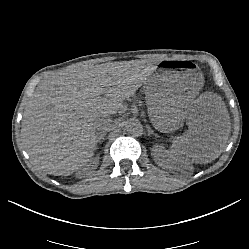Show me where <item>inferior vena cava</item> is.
Returning <instances> with one entry per match:
<instances>
[{"label": "inferior vena cava", "mask_w": 249, "mask_h": 249, "mask_svg": "<svg viewBox=\"0 0 249 249\" xmlns=\"http://www.w3.org/2000/svg\"><path fill=\"white\" fill-rule=\"evenodd\" d=\"M94 127L100 133L110 131L113 128L112 119L110 116L100 118L94 122Z\"/></svg>", "instance_id": "602c4592"}]
</instances>
